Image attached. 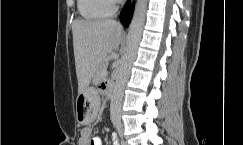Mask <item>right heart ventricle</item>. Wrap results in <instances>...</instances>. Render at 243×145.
<instances>
[{"label":"right heart ventricle","mask_w":243,"mask_h":145,"mask_svg":"<svg viewBox=\"0 0 243 145\" xmlns=\"http://www.w3.org/2000/svg\"><path fill=\"white\" fill-rule=\"evenodd\" d=\"M78 9L87 20H99L112 15L114 8L110 0H78Z\"/></svg>","instance_id":"obj_1"}]
</instances>
